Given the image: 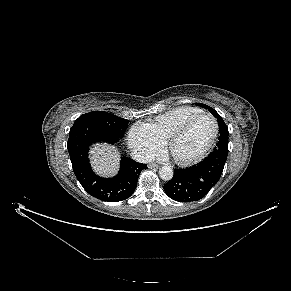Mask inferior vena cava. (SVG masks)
<instances>
[{
  "label": "inferior vena cava",
  "instance_id": "1",
  "mask_svg": "<svg viewBox=\"0 0 291 291\" xmlns=\"http://www.w3.org/2000/svg\"><path fill=\"white\" fill-rule=\"evenodd\" d=\"M132 158L139 163H150L153 161V155L144 149H133L131 152Z\"/></svg>",
  "mask_w": 291,
  "mask_h": 291
}]
</instances>
